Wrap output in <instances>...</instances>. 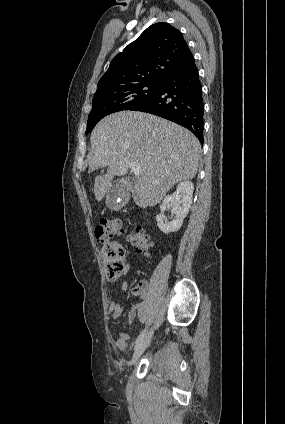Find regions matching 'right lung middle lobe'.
Returning a JSON list of instances; mask_svg holds the SVG:
<instances>
[{"mask_svg": "<svg viewBox=\"0 0 285 424\" xmlns=\"http://www.w3.org/2000/svg\"><path fill=\"white\" fill-rule=\"evenodd\" d=\"M161 85L162 81L147 80L96 91L92 110L88 116L86 134L105 116L122 110H130L135 105L152 97L159 91Z\"/></svg>", "mask_w": 285, "mask_h": 424, "instance_id": "obj_1", "label": "right lung middle lobe"}]
</instances>
